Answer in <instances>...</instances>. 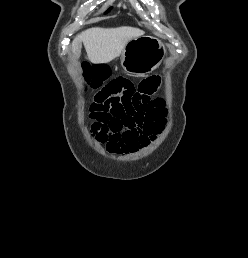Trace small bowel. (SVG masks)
Masks as SVG:
<instances>
[{"label": "small bowel", "mask_w": 248, "mask_h": 258, "mask_svg": "<svg viewBox=\"0 0 248 258\" xmlns=\"http://www.w3.org/2000/svg\"><path fill=\"white\" fill-rule=\"evenodd\" d=\"M159 85L158 78H149L136 87L124 77L112 79L103 85L99 96L112 98L117 102L120 112L128 114L121 129L105 133L101 127L92 128L108 152L125 154L137 151L161 133L166 112L163 100L154 96Z\"/></svg>", "instance_id": "small-bowel-1"}]
</instances>
